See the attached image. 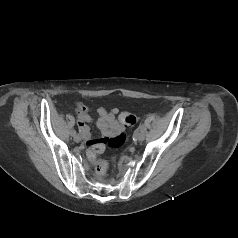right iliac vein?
<instances>
[{"instance_id":"right-iliac-vein-1","label":"right iliac vein","mask_w":238,"mask_h":238,"mask_svg":"<svg viewBox=\"0 0 238 238\" xmlns=\"http://www.w3.org/2000/svg\"><path fill=\"white\" fill-rule=\"evenodd\" d=\"M81 136L79 135V134H76L75 136H74V141L75 142H77V143H79L80 141H81Z\"/></svg>"}]
</instances>
